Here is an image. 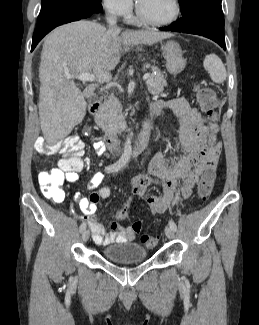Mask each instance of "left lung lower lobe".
Instances as JSON below:
<instances>
[{"instance_id":"1","label":"left lung lower lobe","mask_w":259,"mask_h":325,"mask_svg":"<svg viewBox=\"0 0 259 325\" xmlns=\"http://www.w3.org/2000/svg\"><path fill=\"white\" fill-rule=\"evenodd\" d=\"M160 30L191 33L207 37L226 49L224 39V16L221 5L198 1L182 18Z\"/></svg>"}]
</instances>
